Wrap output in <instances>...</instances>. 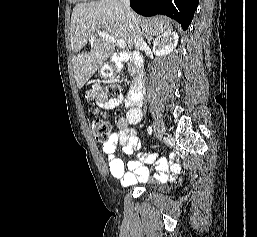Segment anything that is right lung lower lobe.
<instances>
[{"label":"right lung lower lobe","mask_w":257,"mask_h":237,"mask_svg":"<svg viewBox=\"0 0 257 237\" xmlns=\"http://www.w3.org/2000/svg\"><path fill=\"white\" fill-rule=\"evenodd\" d=\"M199 0H130L131 8L143 15H166L176 20L186 30L191 23Z\"/></svg>","instance_id":"98d812e1"}]
</instances>
